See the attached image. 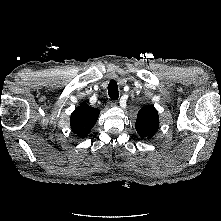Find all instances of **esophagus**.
<instances>
[{"label": "esophagus", "instance_id": "esophagus-1", "mask_svg": "<svg viewBox=\"0 0 221 221\" xmlns=\"http://www.w3.org/2000/svg\"><path fill=\"white\" fill-rule=\"evenodd\" d=\"M111 106H115L116 104H117V102L116 101H111Z\"/></svg>", "mask_w": 221, "mask_h": 221}]
</instances>
